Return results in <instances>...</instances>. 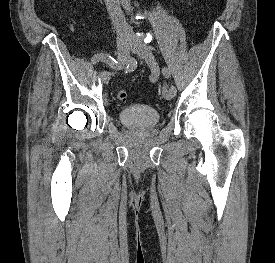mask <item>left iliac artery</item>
Masks as SVG:
<instances>
[{
  "mask_svg": "<svg viewBox=\"0 0 275 263\" xmlns=\"http://www.w3.org/2000/svg\"><path fill=\"white\" fill-rule=\"evenodd\" d=\"M162 73H163V75L166 77V78H169L170 77V70L168 69V68H166V67H164L163 69H162ZM170 89L172 90V92L174 93V94H176V92H177V90H176V88H175V86H173V85H171L170 86Z\"/></svg>",
  "mask_w": 275,
  "mask_h": 263,
  "instance_id": "left-iliac-artery-1",
  "label": "left iliac artery"
}]
</instances>
